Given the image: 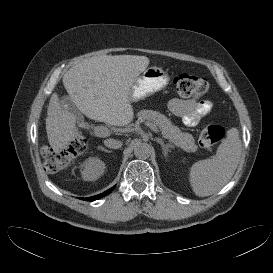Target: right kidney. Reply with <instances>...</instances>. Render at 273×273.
Here are the masks:
<instances>
[{
	"mask_svg": "<svg viewBox=\"0 0 273 273\" xmlns=\"http://www.w3.org/2000/svg\"><path fill=\"white\" fill-rule=\"evenodd\" d=\"M104 170L105 163L97 157H92L86 161L82 171V177L84 180L92 181L102 175Z\"/></svg>",
	"mask_w": 273,
	"mask_h": 273,
	"instance_id": "right-kidney-1",
	"label": "right kidney"
}]
</instances>
